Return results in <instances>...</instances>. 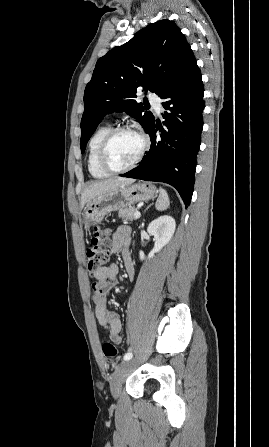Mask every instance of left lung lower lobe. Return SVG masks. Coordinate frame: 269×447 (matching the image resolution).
<instances>
[{"label":"left lung lower lobe","mask_w":269,"mask_h":447,"mask_svg":"<svg viewBox=\"0 0 269 447\" xmlns=\"http://www.w3.org/2000/svg\"><path fill=\"white\" fill-rule=\"evenodd\" d=\"M204 86L200 69L191 48L160 95L165 111L164 128L151 121L146 132L151 138V149L142 163L122 177L158 181L172 185L185 205H189L195 182L196 158L203 129L202 112L205 107ZM161 131L160 136L156 135Z\"/></svg>","instance_id":"0a47b994"}]
</instances>
